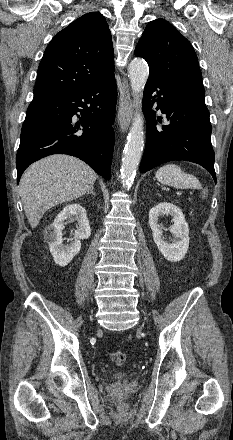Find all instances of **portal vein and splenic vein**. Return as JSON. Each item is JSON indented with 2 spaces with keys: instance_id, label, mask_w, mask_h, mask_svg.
Instances as JSON below:
<instances>
[{
  "instance_id": "obj_1",
  "label": "portal vein and splenic vein",
  "mask_w": 233,
  "mask_h": 440,
  "mask_svg": "<svg viewBox=\"0 0 233 440\" xmlns=\"http://www.w3.org/2000/svg\"><path fill=\"white\" fill-rule=\"evenodd\" d=\"M182 192L181 191H177V194L179 195V194H181Z\"/></svg>"
}]
</instances>
